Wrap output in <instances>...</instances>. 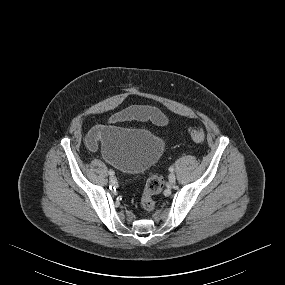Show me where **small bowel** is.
Wrapping results in <instances>:
<instances>
[{
  "mask_svg": "<svg viewBox=\"0 0 285 285\" xmlns=\"http://www.w3.org/2000/svg\"><path fill=\"white\" fill-rule=\"evenodd\" d=\"M127 120L150 121L158 126H168L167 116L156 107L147 105H137L115 113L110 118V123L122 122ZM103 126L94 127L86 136V146L94 151L98 148L102 136Z\"/></svg>",
  "mask_w": 285,
  "mask_h": 285,
  "instance_id": "obj_1",
  "label": "small bowel"
}]
</instances>
